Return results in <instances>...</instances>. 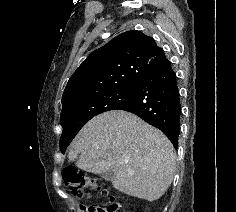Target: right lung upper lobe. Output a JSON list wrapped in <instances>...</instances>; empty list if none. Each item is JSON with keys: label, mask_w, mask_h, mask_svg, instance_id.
Instances as JSON below:
<instances>
[{"label": "right lung upper lobe", "mask_w": 236, "mask_h": 212, "mask_svg": "<svg viewBox=\"0 0 236 212\" xmlns=\"http://www.w3.org/2000/svg\"><path fill=\"white\" fill-rule=\"evenodd\" d=\"M165 57L153 38L124 32L92 52L69 79L62 105L122 87L137 86Z\"/></svg>", "instance_id": "cb5924a9"}]
</instances>
